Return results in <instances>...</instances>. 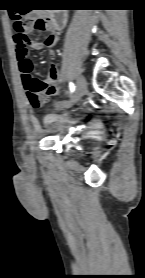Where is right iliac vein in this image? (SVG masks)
Instances as JSON below:
<instances>
[{"instance_id": "63e3f726", "label": "right iliac vein", "mask_w": 145, "mask_h": 278, "mask_svg": "<svg viewBox=\"0 0 145 278\" xmlns=\"http://www.w3.org/2000/svg\"><path fill=\"white\" fill-rule=\"evenodd\" d=\"M86 92V80L82 75L77 78V88L74 96L63 105V108H71L75 105Z\"/></svg>"}]
</instances>
